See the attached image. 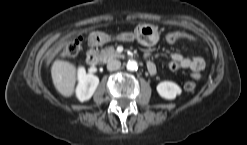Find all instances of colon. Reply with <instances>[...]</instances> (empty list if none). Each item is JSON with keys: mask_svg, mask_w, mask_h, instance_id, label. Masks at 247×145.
Masks as SVG:
<instances>
[{"mask_svg": "<svg viewBox=\"0 0 247 145\" xmlns=\"http://www.w3.org/2000/svg\"><path fill=\"white\" fill-rule=\"evenodd\" d=\"M182 38L181 33H170L166 36V41L168 43H174ZM81 49V38H74L66 42L61 50V57L63 58H72L75 57ZM200 77V75L198 76ZM196 83L194 81H187L184 84V89L188 92L195 90Z\"/></svg>", "mask_w": 247, "mask_h": 145, "instance_id": "colon-1", "label": "colon"}]
</instances>
